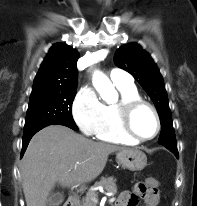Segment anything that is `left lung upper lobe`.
Returning <instances> with one entry per match:
<instances>
[{
  "label": "left lung upper lobe",
  "instance_id": "obj_1",
  "mask_svg": "<svg viewBox=\"0 0 197 206\" xmlns=\"http://www.w3.org/2000/svg\"><path fill=\"white\" fill-rule=\"evenodd\" d=\"M114 61L129 72L152 99L161 122L158 143L177 145L163 78L151 56L140 45L131 43L116 50Z\"/></svg>",
  "mask_w": 197,
  "mask_h": 206
}]
</instances>
